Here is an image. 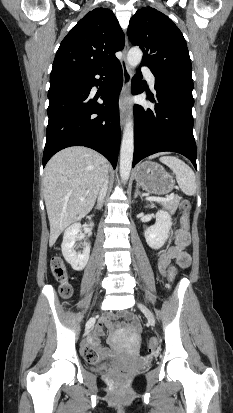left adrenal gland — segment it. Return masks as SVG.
<instances>
[{
	"mask_svg": "<svg viewBox=\"0 0 233 413\" xmlns=\"http://www.w3.org/2000/svg\"><path fill=\"white\" fill-rule=\"evenodd\" d=\"M138 196H140L142 198L141 192L139 191V186L137 184L135 194H134V198H137Z\"/></svg>",
	"mask_w": 233,
	"mask_h": 413,
	"instance_id": "1",
	"label": "left adrenal gland"
}]
</instances>
